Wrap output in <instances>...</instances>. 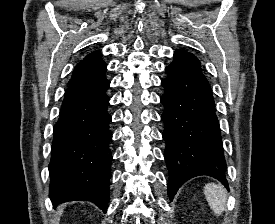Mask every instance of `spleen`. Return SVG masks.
I'll list each match as a JSON object with an SVG mask.
<instances>
[{"instance_id":"1","label":"spleen","mask_w":275,"mask_h":224,"mask_svg":"<svg viewBox=\"0 0 275 224\" xmlns=\"http://www.w3.org/2000/svg\"><path fill=\"white\" fill-rule=\"evenodd\" d=\"M204 194L214 214L221 215L226 207V190L221 185L209 183L204 187Z\"/></svg>"}]
</instances>
